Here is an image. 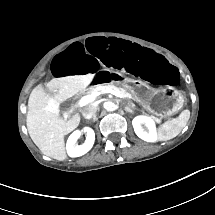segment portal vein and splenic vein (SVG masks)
I'll use <instances>...</instances> for the list:
<instances>
[{"mask_svg":"<svg viewBox=\"0 0 215 215\" xmlns=\"http://www.w3.org/2000/svg\"><path fill=\"white\" fill-rule=\"evenodd\" d=\"M105 93H110V94H112L116 97H120V98L124 97V94L121 93L120 91L114 89L113 86H110V88L108 86L102 87V94H105ZM98 95H100V93H93L91 95L83 96L79 101V106L82 107V106L87 105L90 102H93Z\"/></svg>","mask_w":215,"mask_h":215,"instance_id":"18ae733b","label":"portal vein and splenic vein"}]
</instances>
